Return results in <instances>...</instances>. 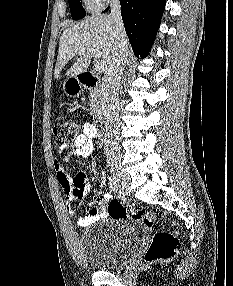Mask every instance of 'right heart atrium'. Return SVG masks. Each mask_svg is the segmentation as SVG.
Returning <instances> with one entry per match:
<instances>
[{
    "instance_id": "d8ad5b80",
    "label": "right heart atrium",
    "mask_w": 233,
    "mask_h": 286,
    "mask_svg": "<svg viewBox=\"0 0 233 286\" xmlns=\"http://www.w3.org/2000/svg\"><path fill=\"white\" fill-rule=\"evenodd\" d=\"M91 8L99 10L104 6V3L109 0H86Z\"/></svg>"
}]
</instances>
